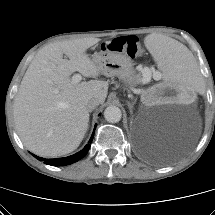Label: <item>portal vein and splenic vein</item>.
Wrapping results in <instances>:
<instances>
[{"mask_svg":"<svg viewBox=\"0 0 215 215\" xmlns=\"http://www.w3.org/2000/svg\"><path fill=\"white\" fill-rule=\"evenodd\" d=\"M154 79L158 80L159 77L154 75ZM81 80H82V76L80 74H74L72 77V81L74 83H79ZM148 81H149V78H145V82H148Z\"/></svg>","mask_w":215,"mask_h":215,"instance_id":"18ae733b","label":"portal vein and splenic vein"}]
</instances>
